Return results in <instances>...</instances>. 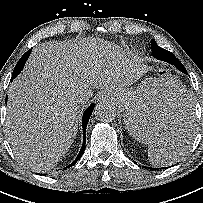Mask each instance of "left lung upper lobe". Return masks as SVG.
Listing matches in <instances>:
<instances>
[{
	"mask_svg": "<svg viewBox=\"0 0 203 203\" xmlns=\"http://www.w3.org/2000/svg\"><path fill=\"white\" fill-rule=\"evenodd\" d=\"M159 46L157 45V43L155 42V40H151V48H152V52L156 49V48H158ZM183 68H184V66H183Z\"/></svg>",
	"mask_w": 203,
	"mask_h": 203,
	"instance_id": "left-lung-upper-lobe-1",
	"label": "left lung upper lobe"
}]
</instances>
